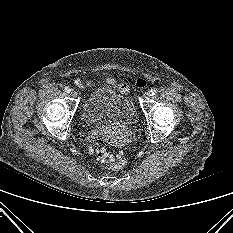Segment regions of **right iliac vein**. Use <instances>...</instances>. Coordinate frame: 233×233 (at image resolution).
<instances>
[{
	"mask_svg": "<svg viewBox=\"0 0 233 233\" xmlns=\"http://www.w3.org/2000/svg\"><path fill=\"white\" fill-rule=\"evenodd\" d=\"M70 95L73 96V97H75L76 96V92L74 90H71L70 91Z\"/></svg>",
	"mask_w": 233,
	"mask_h": 233,
	"instance_id": "obj_1",
	"label": "right iliac vein"
}]
</instances>
